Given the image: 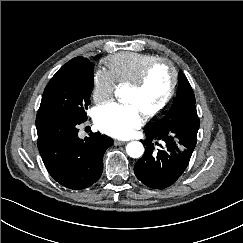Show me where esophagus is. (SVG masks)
<instances>
[{
  "label": "esophagus",
  "instance_id": "obj_1",
  "mask_svg": "<svg viewBox=\"0 0 243 243\" xmlns=\"http://www.w3.org/2000/svg\"><path fill=\"white\" fill-rule=\"evenodd\" d=\"M125 143L126 142L125 141H122V140H114V145H116V146L123 145Z\"/></svg>",
  "mask_w": 243,
  "mask_h": 243
}]
</instances>
